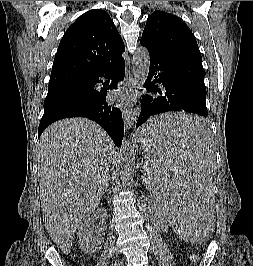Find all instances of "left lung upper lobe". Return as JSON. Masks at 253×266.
<instances>
[{
  "label": "left lung upper lobe",
  "instance_id": "obj_1",
  "mask_svg": "<svg viewBox=\"0 0 253 266\" xmlns=\"http://www.w3.org/2000/svg\"><path fill=\"white\" fill-rule=\"evenodd\" d=\"M157 49H179L201 58L189 27L175 15L155 11L147 19L141 41Z\"/></svg>",
  "mask_w": 253,
  "mask_h": 266
}]
</instances>
